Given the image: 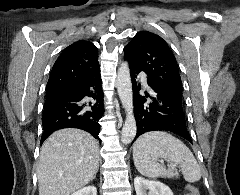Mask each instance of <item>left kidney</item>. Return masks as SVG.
<instances>
[{
	"mask_svg": "<svg viewBox=\"0 0 240 195\" xmlns=\"http://www.w3.org/2000/svg\"><path fill=\"white\" fill-rule=\"evenodd\" d=\"M134 187L137 195H174L169 185H165L162 181L145 179V177H139V175L134 179Z\"/></svg>",
	"mask_w": 240,
	"mask_h": 195,
	"instance_id": "5707ae66",
	"label": "left kidney"
}]
</instances>
